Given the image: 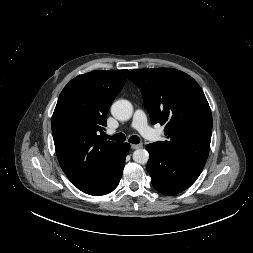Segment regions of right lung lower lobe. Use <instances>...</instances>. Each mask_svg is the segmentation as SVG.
Here are the masks:
<instances>
[{
	"instance_id": "right-lung-lower-lobe-1",
	"label": "right lung lower lobe",
	"mask_w": 253,
	"mask_h": 253,
	"mask_svg": "<svg viewBox=\"0 0 253 253\" xmlns=\"http://www.w3.org/2000/svg\"><path fill=\"white\" fill-rule=\"evenodd\" d=\"M129 149L128 143H120L111 153L95 179L80 190L93 196H101L113 191L121 179Z\"/></svg>"
}]
</instances>
